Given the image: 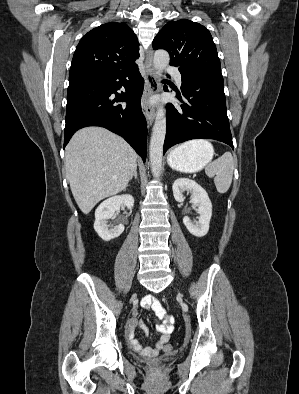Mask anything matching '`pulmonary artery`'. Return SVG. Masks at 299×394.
Returning <instances> with one entry per match:
<instances>
[{"mask_svg": "<svg viewBox=\"0 0 299 394\" xmlns=\"http://www.w3.org/2000/svg\"><path fill=\"white\" fill-rule=\"evenodd\" d=\"M167 72L175 78V80L179 86L182 85V76H181V73L177 69L170 68V69H168Z\"/></svg>", "mask_w": 299, "mask_h": 394, "instance_id": "obj_1", "label": "pulmonary artery"}]
</instances>
